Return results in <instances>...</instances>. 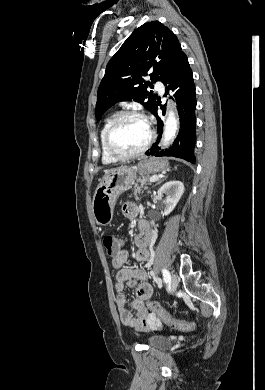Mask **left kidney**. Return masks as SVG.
<instances>
[{
	"label": "left kidney",
	"mask_w": 265,
	"mask_h": 390,
	"mask_svg": "<svg viewBox=\"0 0 265 390\" xmlns=\"http://www.w3.org/2000/svg\"><path fill=\"white\" fill-rule=\"evenodd\" d=\"M184 192V185L181 181L172 180L163 184L158 190L157 194L162 197L164 194V215H169L179 202Z\"/></svg>",
	"instance_id": "obj_1"
}]
</instances>
